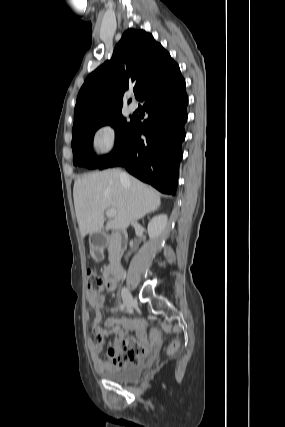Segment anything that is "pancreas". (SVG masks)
<instances>
[{
    "instance_id": "cf45deb5",
    "label": "pancreas",
    "mask_w": 285,
    "mask_h": 427,
    "mask_svg": "<svg viewBox=\"0 0 285 427\" xmlns=\"http://www.w3.org/2000/svg\"><path fill=\"white\" fill-rule=\"evenodd\" d=\"M113 243H114V241L112 240L110 244L112 245Z\"/></svg>"
}]
</instances>
